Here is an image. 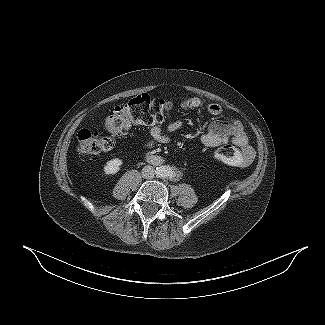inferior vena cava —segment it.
Here are the masks:
<instances>
[{
	"instance_id": "602c4592",
	"label": "inferior vena cava",
	"mask_w": 325,
	"mask_h": 325,
	"mask_svg": "<svg viewBox=\"0 0 325 325\" xmlns=\"http://www.w3.org/2000/svg\"><path fill=\"white\" fill-rule=\"evenodd\" d=\"M141 173L143 178L152 179L156 173V170L154 169V167L147 165L144 166Z\"/></svg>"
}]
</instances>
